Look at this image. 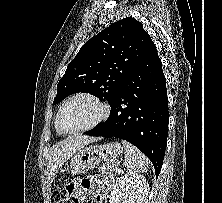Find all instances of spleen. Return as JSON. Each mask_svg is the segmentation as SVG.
Masks as SVG:
<instances>
[{"label":"spleen","mask_w":222,"mask_h":203,"mask_svg":"<svg viewBox=\"0 0 222 203\" xmlns=\"http://www.w3.org/2000/svg\"><path fill=\"white\" fill-rule=\"evenodd\" d=\"M125 148V160L127 171L129 173H144L148 171V159L146 156L135 146L129 142L121 141Z\"/></svg>","instance_id":"obj_1"}]
</instances>
